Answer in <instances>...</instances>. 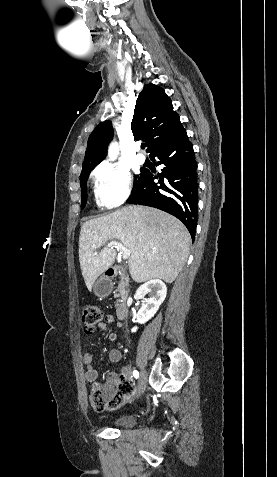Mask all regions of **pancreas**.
Segmentation results:
<instances>
[{
    "instance_id": "1",
    "label": "pancreas",
    "mask_w": 277,
    "mask_h": 477,
    "mask_svg": "<svg viewBox=\"0 0 277 477\" xmlns=\"http://www.w3.org/2000/svg\"><path fill=\"white\" fill-rule=\"evenodd\" d=\"M116 292H119L116 296H121L122 299H125V296L123 295V287L120 285L119 288L116 290Z\"/></svg>"
}]
</instances>
